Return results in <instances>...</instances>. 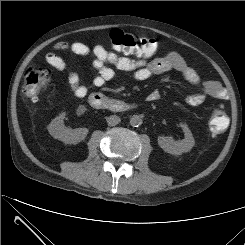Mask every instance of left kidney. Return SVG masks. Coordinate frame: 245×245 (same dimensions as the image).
I'll use <instances>...</instances> for the list:
<instances>
[{"mask_svg": "<svg viewBox=\"0 0 245 245\" xmlns=\"http://www.w3.org/2000/svg\"><path fill=\"white\" fill-rule=\"evenodd\" d=\"M185 138L181 141H175L171 137H160L158 143L160 147L167 153L173 155H180L184 152L190 151L195 145L194 137L185 124H180Z\"/></svg>", "mask_w": 245, "mask_h": 245, "instance_id": "left-kidney-1", "label": "left kidney"}]
</instances>
